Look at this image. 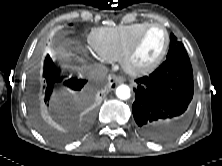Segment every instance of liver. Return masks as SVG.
<instances>
[{"label":"liver","mask_w":222,"mask_h":166,"mask_svg":"<svg viewBox=\"0 0 222 166\" xmlns=\"http://www.w3.org/2000/svg\"><path fill=\"white\" fill-rule=\"evenodd\" d=\"M58 53L61 55V57L63 58V60L65 62H69L71 60V57L73 56L72 53L67 52L65 49L61 48L58 50ZM64 68H69L70 66L68 64H64L63 66Z\"/></svg>","instance_id":"6515ba94"}]
</instances>
